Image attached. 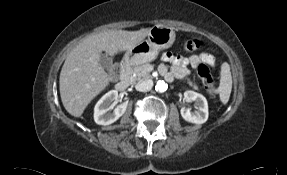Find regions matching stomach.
I'll list each match as a JSON object with an SVG mask.
<instances>
[{"mask_svg": "<svg viewBox=\"0 0 287 175\" xmlns=\"http://www.w3.org/2000/svg\"><path fill=\"white\" fill-rule=\"evenodd\" d=\"M175 36L173 28L162 24L155 25L150 29L146 40L126 51L124 60L130 65L150 62L157 57L159 51L172 46Z\"/></svg>", "mask_w": 287, "mask_h": 175, "instance_id": "obj_1", "label": "stomach"}]
</instances>
